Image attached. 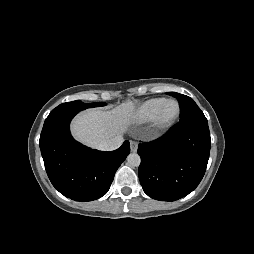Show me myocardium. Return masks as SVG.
<instances>
[{
    "label": "myocardium",
    "mask_w": 254,
    "mask_h": 254,
    "mask_svg": "<svg viewBox=\"0 0 254 254\" xmlns=\"http://www.w3.org/2000/svg\"><path fill=\"white\" fill-rule=\"evenodd\" d=\"M170 103H175L177 106L176 112L175 114L170 117V118H166L165 117V110L168 104ZM180 115V105L179 102L175 99H169L166 100L165 103L163 104V106L161 107V109L159 110V112L157 113L156 117L153 120V127L156 131H164L168 128H170L175 121L178 119Z\"/></svg>",
    "instance_id": "obj_1"
}]
</instances>
